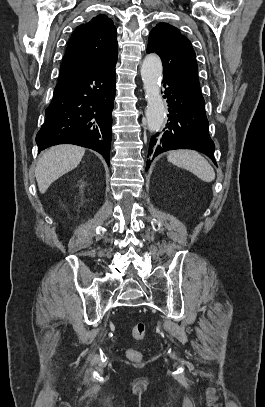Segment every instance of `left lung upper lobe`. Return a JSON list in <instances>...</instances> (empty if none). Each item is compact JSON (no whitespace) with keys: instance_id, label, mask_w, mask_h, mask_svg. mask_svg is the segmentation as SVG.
Listing matches in <instances>:
<instances>
[{"instance_id":"5c2ea615","label":"left lung upper lobe","mask_w":265,"mask_h":407,"mask_svg":"<svg viewBox=\"0 0 265 407\" xmlns=\"http://www.w3.org/2000/svg\"><path fill=\"white\" fill-rule=\"evenodd\" d=\"M151 52L161 57L164 77L178 81L202 97L195 52L189 39L176 27L167 23L157 24L149 35L147 53Z\"/></svg>"}]
</instances>
